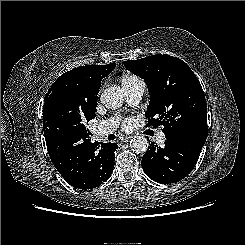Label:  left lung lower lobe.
Returning <instances> with one entry per match:
<instances>
[{
  "mask_svg": "<svg viewBox=\"0 0 245 245\" xmlns=\"http://www.w3.org/2000/svg\"><path fill=\"white\" fill-rule=\"evenodd\" d=\"M205 141L206 137L187 135L166 137L164 148L151 142L142 158V168L146 175L157 183L178 182L195 167Z\"/></svg>",
  "mask_w": 245,
  "mask_h": 245,
  "instance_id": "1",
  "label": "left lung lower lobe"
}]
</instances>
